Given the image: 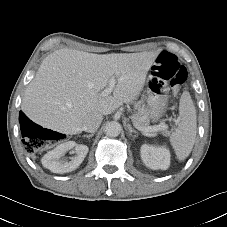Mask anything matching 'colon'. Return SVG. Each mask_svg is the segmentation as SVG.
<instances>
[{
  "instance_id": "obj_1",
  "label": "colon",
  "mask_w": 227,
  "mask_h": 227,
  "mask_svg": "<svg viewBox=\"0 0 227 227\" xmlns=\"http://www.w3.org/2000/svg\"><path fill=\"white\" fill-rule=\"evenodd\" d=\"M152 72L155 76L169 82L173 92L177 93L179 87L187 79V69L179 62L177 57L169 52H162L157 57ZM27 140L24 141V149L27 152H34L43 148L46 142L51 139L52 132L36 125H27Z\"/></svg>"
}]
</instances>
